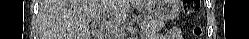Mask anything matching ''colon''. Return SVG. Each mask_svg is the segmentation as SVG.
I'll return each mask as SVG.
<instances>
[{
    "label": "colon",
    "instance_id": "colon-1",
    "mask_svg": "<svg viewBox=\"0 0 249 39\" xmlns=\"http://www.w3.org/2000/svg\"><path fill=\"white\" fill-rule=\"evenodd\" d=\"M199 0H185L183 1V11L186 14H192L198 11L199 9ZM201 33V30L199 28L195 29V34L199 35Z\"/></svg>",
    "mask_w": 249,
    "mask_h": 39
}]
</instances>
